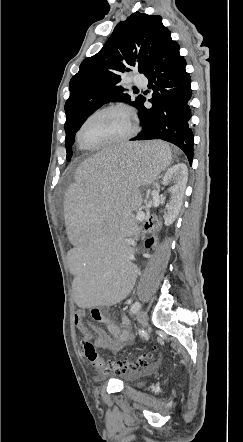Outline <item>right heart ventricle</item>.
I'll use <instances>...</instances> for the list:
<instances>
[{"instance_id":"right-heart-ventricle-1","label":"right heart ventricle","mask_w":243,"mask_h":442,"mask_svg":"<svg viewBox=\"0 0 243 442\" xmlns=\"http://www.w3.org/2000/svg\"><path fill=\"white\" fill-rule=\"evenodd\" d=\"M79 147H80L81 150H84V148H82L80 145H79Z\"/></svg>"}]
</instances>
